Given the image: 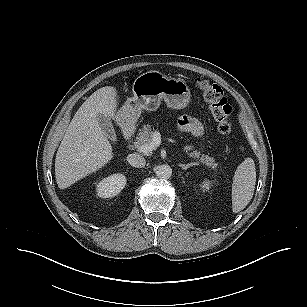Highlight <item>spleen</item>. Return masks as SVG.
Listing matches in <instances>:
<instances>
[{
  "mask_svg": "<svg viewBox=\"0 0 307 307\" xmlns=\"http://www.w3.org/2000/svg\"><path fill=\"white\" fill-rule=\"evenodd\" d=\"M256 184L254 160L247 157L236 169L232 183V210L238 213L251 201Z\"/></svg>",
  "mask_w": 307,
  "mask_h": 307,
  "instance_id": "obj_1",
  "label": "spleen"
}]
</instances>
